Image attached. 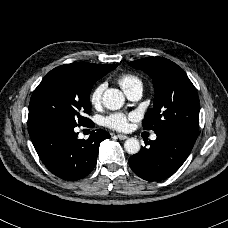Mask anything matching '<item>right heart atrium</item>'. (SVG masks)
<instances>
[{
    "label": "right heart atrium",
    "instance_id": "d8ad5b80",
    "mask_svg": "<svg viewBox=\"0 0 228 228\" xmlns=\"http://www.w3.org/2000/svg\"><path fill=\"white\" fill-rule=\"evenodd\" d=\"M106 88V82H100L91 90L89 100L92 105L97 106L101 103L102 94Z\"/></svg>",
    "mask_w": 228,
    "mask_h": 228
}]
</instances>
